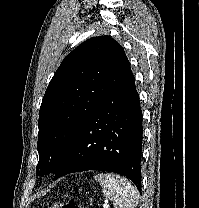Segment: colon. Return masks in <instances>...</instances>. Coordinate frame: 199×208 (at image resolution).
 <instances>
[{
  "label": "colon",
  "mask_w": 199,
  "mask_h": 208,
  "mask_svg": "<svg viewBox=\"0 0 199 208\" xmlns=\"http://www.w3.org/2000/svg\"><path fill=\"white\" fill-rule=\"evenodd\" d=\"M46 208H82L79 204L72 200L49 202Z\"/></svg>",
  "instance_id": "5ec220e1"
}]
</instances>
